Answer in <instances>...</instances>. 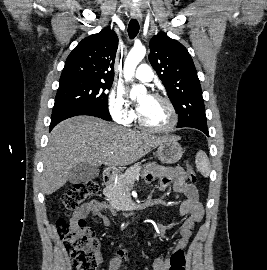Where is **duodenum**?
I'll use <instances>...</instances> for the list:
<instances>
[{"mask_svg":"<svg viewBox=\"0 0 267 270\" xmlns=\"http://www.w3.org/2000/svg\"><path fill=\"white\" fill-rule=\"evenodd\" d=\"M114 173L113 170L111 169H107L104 171L103 173V182L104 184H108L109 182H111V180L113 179ZM131 225H137L139 224V221H131L130 222Z\"/></svg>","mask_w":267,"mask_h":270,"instance_id":"1","label":"duodenum"}]
</instances>
